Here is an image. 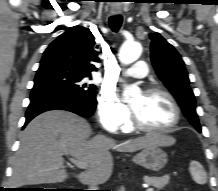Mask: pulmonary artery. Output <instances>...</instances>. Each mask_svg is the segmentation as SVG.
<instances>
[{"label":"pulmonary artery","mask_w":218,"mask_h":191,"mask_svg":"<svg viewBox=\"0 0 218 191\" xmlns=\"http://www.w3.org/2000/svg\"><path fill=\"white\" fill-rule=\"evenodd\" d=\"M148 68L147 63L145 61H137L136 64L126 69L122 72L123 77H129V78H143L147 75Z\"/></svg>","instance_id":"pulmonary-artery-1"}]
</instances>
